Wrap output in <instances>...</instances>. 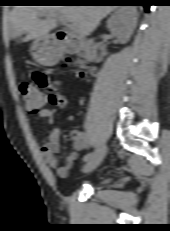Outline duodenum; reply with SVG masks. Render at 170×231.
<instances>
[{"instance_id":"duodenum-1","label":"duodenum","mask_w":170,"mask_h":231,"mask_svg":"<svg viewBox=\"0 0 170 231\" xmlns=\"http://www.w3.org/2000/svg\"><path fill=\"white\" fill-rule=\"evenodd\" d=\"M58 44V52L65 54L82 53L86 61H96L98 59L97 45L93 41L84 40L72 36L67 31H57L53 33Z\"/></svg>"}]
</instances>
